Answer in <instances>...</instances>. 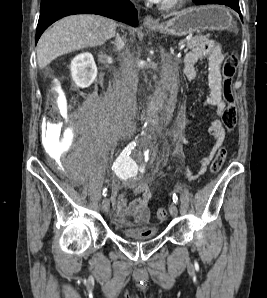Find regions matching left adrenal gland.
<instances>
[{
	"label": "left adrenal gland",
	"instance_id": "1",
	"mask_svg": "<svg viewBox=\"0 0 267 298\" xmlns=\"http://www.w3.org/2000/svg\"><path fill=\"white\" fill-rule=\"evenodd\" d=\"M162 53H163V55H165V51H164V49H162Z\"/></svg>",
	"mask_w": 267,
	"mask_h": 298
}]
</instances>
